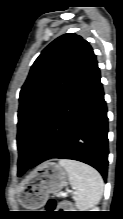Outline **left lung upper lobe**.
I'll return each instance as SVG.
<instances>
[{
    "instance_id": "5c2ea615",
    "label": "left lung upper lobe",
    "mask_w": 123,
    "mask_h": 219,
    "mask_svg": "<svg viewBox=\"0 0 123 219\" xmlns=\"http://www.w3.org/2000/svg\"><path fill=\"white\" fill-rule=\"evenodd\" d=\"M95 61L89 43L75 33L58 37L38 56L20 91L18 174L26 171L58 108Z\"/></svg>"
}]
</instances>
